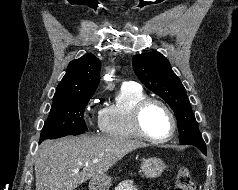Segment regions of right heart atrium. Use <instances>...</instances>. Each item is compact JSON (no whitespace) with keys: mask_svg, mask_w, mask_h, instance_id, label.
I'll list each match as a JSON object with an SVG mask.
<instances>
[{"mask_svg":"<svg viewBox=\"0 0 238 190\" xmlns=\"http://www.w3.org/2000/svg\"><path fill=\"white\" fill-rule=\"evenodd\" d=\"M99 113H100V112H99ZM99 113H98V116H97V122H98V124H99ZM88 120H89V124L92 125V124H93L92 118H89Z\"/></svg>","mask_w":238,"mask_h":190,"instance_id":"right-heart-atrium-1","label":"right heart atrium"}]
</instances>
